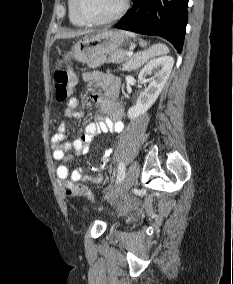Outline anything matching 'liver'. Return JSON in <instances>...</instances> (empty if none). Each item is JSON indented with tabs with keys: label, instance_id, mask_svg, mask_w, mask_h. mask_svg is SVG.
I'll return each instance as SVG.
<instances>
[{
	"label": "liver",
	"instance_id": "liver-1",
	"mask_svg": "<svg viewBox=\"0 0 233 284\" xmlns=\"http://www.w3.org/2000/svg\"><path fill=\"white\" fill-rule=\"evenodd\" d=\"M93 32L94 30L62 31L55 35L54 40L78 37V36L90 34Z\"/></svg>",
	"mask_w": 233,
	"mask_h": 284
}]
</instances>
